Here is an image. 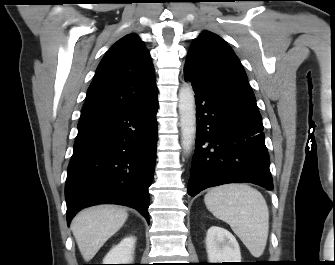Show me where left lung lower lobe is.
I'll list each match as a JSON object with an SVG mask.
<instances>
[{
	"label": "left lung lower lobe",
	"instance_id": "left-lung-lower-lobe-1",
	"mask_svg": "<svg viewBox=\"0 0 335 265\" xmlns=\"http://www.w3.org/2000/svg\"><path fill=\"white\" fill-rule=\"evenodd\" d=\"M196 94L197 138L188 194L233 182L273 189L270 160L258 109L185 76Z\"/></svg>",
	"mask_w": 335,
	"mask_h": 265
}]
</instances>
